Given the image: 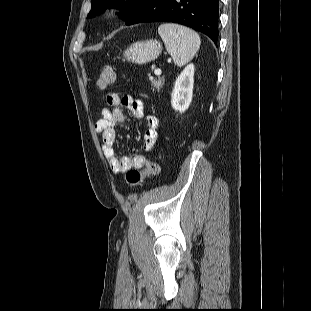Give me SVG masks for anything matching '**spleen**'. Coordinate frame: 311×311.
<instances>
[{"label":"spleen","instance_id":"3e777b00","mask_svg":"<svg viewBox=\"0 0 311 311\" xmlns=\"http://www.w3.org/2000/svg\"><path fill=\"white\" fill-rule=\"evenodd\" d=\"M158 33L174 63L179 67L194 57L201 44L198 33L182 25L161 24L158 27Z\"/></svg>","mask_w":311,"mask_h":311}]
</instances>
